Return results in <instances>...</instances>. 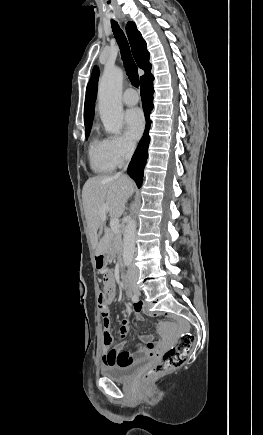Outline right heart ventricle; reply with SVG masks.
Masks as SVG:
<instances>
[{
  "instance_id": "right-heart-ventricle-1",
  "label": "right heart ventricle",
  "mask_w": 263,
  "mask_h": 435,
  "mask_svg": "<svg viewBox=\"0 0 263 435\" xmlns=\"http://www.w3.org/2000/svg\"><path fill=\"white\" fill-rule=\"evenodd\" d=\"M91 169L98 174L111 173L116 164L113 161L108 145V139L94 135L88 148Z\"/></svg>"
}]
</instances>
